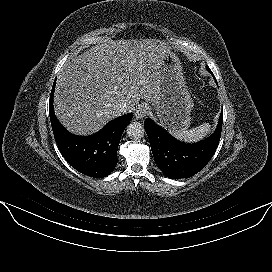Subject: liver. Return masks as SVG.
Segmentation results:
<instances>
[{"label": "liver", "instance_id": "6515ba94", "mask_svg": "<svg viewBox=\"0 0 272 272\" xmlns=\"http://www.w3.org/2000/svg\"><path fill=\"white\" fill-rule=\"evenodd\" d=\"M170 48L158 39H109L66 62L58 74L55 114L71 132L90 135L119 116L120 103L133 110L159 92L161 61Z\"/></svg>", "mask_w": 272, "mask_h": 272}]
</instances>
